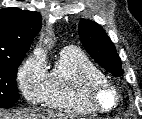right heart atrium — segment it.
<instances>
[{"label": "right heart atrium", "instance_id": "obj_1", "mask_svg": "<svg viewBox=\"0 0 142 119\" xmlns=\"http://www.w3.org/2000/svg\"><path fill=\"white\" fill-rule=\"evenodd\" d=\"M46 75L45 58L40 52L32 53L21 64L16 82L21 95L27 102L31 104L41 102Z\"/></svg>", "mask_w": 142, "mask_h": 119}]
</instances>
